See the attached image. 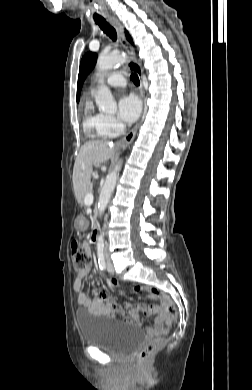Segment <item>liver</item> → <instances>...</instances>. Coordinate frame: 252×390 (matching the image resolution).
Returning a JSON list of instances; mask_svg holds the SVG:
<instances>
[{
	"label": "liver",
	"mask_w": 252,
	"mask_h": 390,
	"mask_svg": "<svg viewBox=\"0 0 252 390\" xmlns=\"http://www.w3.org/2000/svg\"><path fill=\"white\" fill-rule=\"evenodd\" d=\"M115 153L106 141H90L79 150L73 168V188L77 199L83 198L90 185L93 165L108 161Z\"/></svg>",
	"instance_id": "1"
}]
</instances>
